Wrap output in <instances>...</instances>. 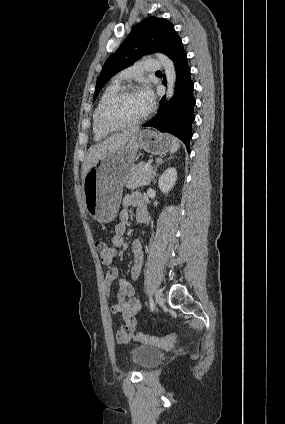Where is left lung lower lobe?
Returning <instances> with one entry per match:
<instances>
[{
    "instance_id": "1",
    "label": "left lung lower lobe",
    "mask_w": 285,
    "mask_h": 424,
    "mask_svg": "<svg viewBox=\"0 0 285 424\" xmlns=\"http://www.w3.org/2000/svg\"><path fill=\"white\" fill-rule=\"evenodd\" d=\"M168 56L174 63L176 71L175 92L166 106L165 96L160 100V106L157 114L142 126L154 127L161 132H168L182 140L187 146L192 138V122L194 121L193 96L194 84L190 77V67L187 63V55L184 51L181 39H177ZM163 83L166 81L164 79Z\"/></svg>"
}]
</instances>
